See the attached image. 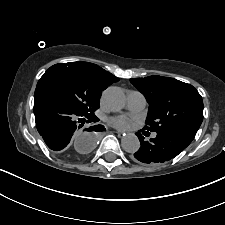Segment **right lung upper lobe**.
Wrapping results in <instances>:
<instances>
[{
    "mask_svg": "<svg viewBox=\"0 0 225 225\" xmlns=\"http://www.w3.org/2000/svg\"><path fill=\"white\" fill-rule=\"evenodd\" d=\"M70 67H73L83 73L95 88L101 92L107 88L110 84L117 82L119 79L113 74L105 71L101 67L88 62H70L67 63Z\"/></svg>",
    "mask_w": 225,
    "mask_h": 225,
    "instance_id": "obj_1",
    "label": "right lung upper lobe"
}]
</instances>
